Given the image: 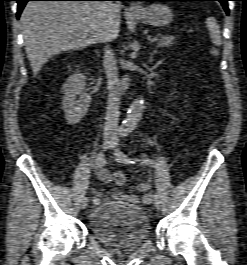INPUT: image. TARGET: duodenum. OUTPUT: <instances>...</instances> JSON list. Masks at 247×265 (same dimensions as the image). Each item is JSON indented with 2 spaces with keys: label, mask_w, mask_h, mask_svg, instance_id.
Returning a JSON list of instances; mask_svg holds the SVG:
<instances>
[{
  "label": "duodenum",
  "mask_w": 247,
  "mask_h": 265,
  "mask_svg": "<svg viewBox=\"0 0 247 265\" xmlns=\"http://www.w3.org/2000/svg\"><path fill=\"white\" fill-rule=\"evenodd\" d=\"M128 86H129V77H124L123 79H121L119 83L118 92L120 94H123L127 90Z\"/></svg>",
  "instance_id": "obj_1"
}]
</instances>
